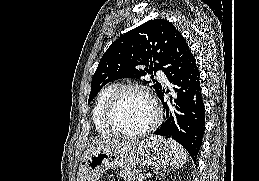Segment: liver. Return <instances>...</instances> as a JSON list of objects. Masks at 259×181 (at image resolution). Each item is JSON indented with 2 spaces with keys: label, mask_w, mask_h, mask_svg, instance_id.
<instances>
[{
  "label": "liver",
  "mask_w": 259,
  "mask_h": 181,
  "mask_svg": "<svg viewBox=\"0 0 259 181\" xmlns=\"http://www.w3.org/2000/svg\"><path fill=\"white\" fill-rule=\"evenodd\" d=\"M134 141H128V142H122L119 140H114V139H98L96 141H94L91 144V148L90 149H94V148H105V149H109V148H114V147H119V148H123L126 145L132 143Z\"/></svg>",
  "instance_id": "1"
}]
</instances>
